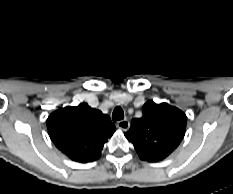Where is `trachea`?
Returning <instances> with one entry per match:
<instances>
[{
	"label": "trachea",
	"mask_w": 233,
	"mask_h": 194,
	"mask_svg": "<svg viewBox=\"0 0 233 194\" xmlns=\"http://www.w3.org/2000/svg\"><path fill=\"white\" fill-rule=\"evenodd\" d=\"M113 121H119L124 119V112L120 106H117L112 113Z\"/></svg>",
	"instance_id": "1"
}]
</instances>
